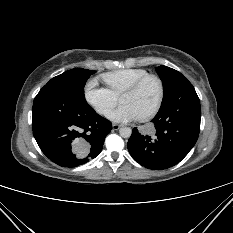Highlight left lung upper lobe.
<instances>
[{
	"label": "left lung upper lobe",
	"instance_id": "1",
	"mask_svg": "<svg viewBox=\"0 0 233 233\" xmlns=\"http://www.w3.org/2000/svg\"><path fill=\"white\" fill-rule=\"evenodd\" d=\"M156 71L163 82L164 96L161 104L162 107L173 94L178 83L185 79V77L180 72L164 65L157 67Z\"/></svg>",
	"mask_w": 233,
	"mask_h": 233
}]
</instances>
